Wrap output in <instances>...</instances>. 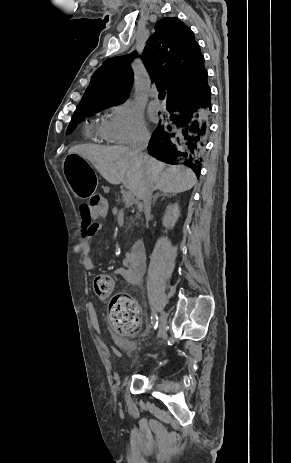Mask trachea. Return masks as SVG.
Listing matches in <instances>:
<instances>
[{"label":"trachea","mask_w":291,"mask_h":463,"mask_svg":"<svg viewBox=\"0 0 291 463\" xmlns=\"http://www.w3.org/2000/svg\"><path fill=\"white\" fill-rule=\"evenodd\" d=\"M165 98V92H160L159 93V99H164Z\"/></svg>","instance_id":"trachea-1"}]
</instances>
